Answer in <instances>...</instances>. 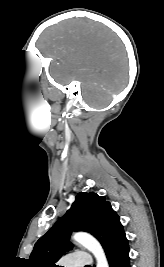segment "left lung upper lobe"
<instances>
[{
  "label": "left lung upper lobe",
  "mask_w": 164,
  "mask_h": 267,
  "mask_svg": "<svg viewBox=\"0 0 164 267\" xmlns=\"http://www.w3.org/2000/svg\"><path fill=\"white\" fill-rule=\"evenodd\" d=\"M120 226L119 216L104 196L78 193L66 214L36 242L28 263L30 267H56L54 263L72 248V231L89 232L103 245Z\"/></svg>",
  "instance_id": "1"
}]
</instances>
